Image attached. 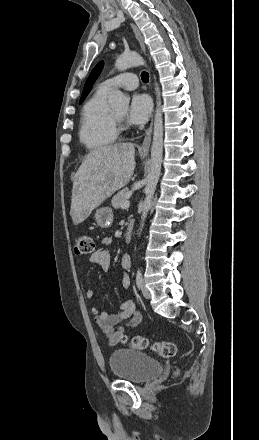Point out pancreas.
Wrapping results in <instances>:
<instances>
[{
    "label": "pancreas",
    "instance_id": "pancreas-1",
    "mask_svg": "<svg viewBox=\"0 0 259 440\" xmlns=\"http://www.w3.org/2000/svg\"><path fill=\"white\" fill-rule=\"evenodd\" d=\"M128 193L129 189L124 188L121 191H119L111 200V204L115 209H119L121 207V204L128 201Z\"/></svg>",
    "mask_w": 259,
    "mask_h": 440
}]
</instances>
